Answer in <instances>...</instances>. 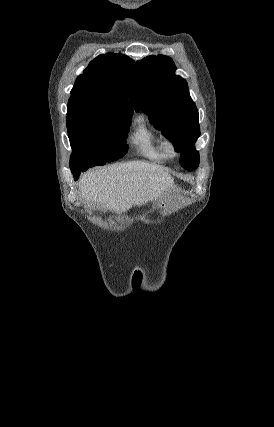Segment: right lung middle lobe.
Segmentation results:
<instances>
[{"mask_svg": "<svg viewBox=\"0 0 274 427\" xmlns=\"http://www.w3.org/2000/svg\"><path fill=\"white\" fill-rule=\"evenodd\" d=\"M133 110L122 107L81 108L67 112L73 153L70 166L89 168L121 158Z\"/></svg>", "mask_w": 274, "mask_h": 427, "instance_id": "obj_1", "label": "right lung middle lobe"}]
</instances>
